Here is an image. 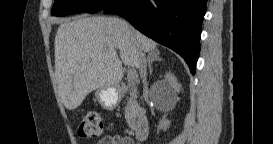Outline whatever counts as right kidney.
Returning <instances> with one entry per match:
<instances>
[{
	"label": "right kidney",
	"mask_w": 273,
	"mask_h": 144,
	"mask_svg": "<svg viewBox=\"0 0 273 144\" xmlns=\"http://www.w3.org/2000/svg\"><path fill=\"white\" fill-rule=\"evenodd\" d=\"M154 88L158 89L161 96H163L166 99H175L177 92L180 89V85L177 81V79L171 75V74H166L165 80L163 81H157L154 84ZM171 122L169 120H162L159 123L160 129L166 131L167 128L170 126Z\"/></svg>",
	"instance_id": "obj_1"
}]
</instances>
